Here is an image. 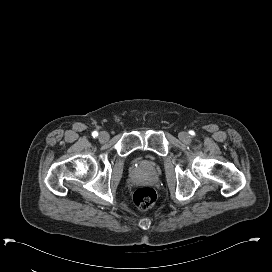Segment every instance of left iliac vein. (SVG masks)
<instances>
[{"instance_id":"4c4485c4","label":"left iliac vein","mask_w":272,"mask_h":272,"mask_svg":"<svg viewBox=\"0 0 272 272\" xmlns=\"http://www.w3.org/2000/svg\"><path fill=\"white\" fill-rule=\"evenodd\" d=\"M179 139L184 142L187 143L190 140V136L187 132H180L179 133Z\"/></svg>"}]
</instances>
